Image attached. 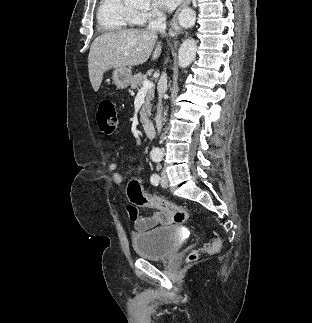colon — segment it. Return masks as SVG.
<instances>
[{
	"instance_id": "5ec220e1",
	"label": "colon",
	"mask_w": 312,
	"mask_h": 323,
	"mask_svg": "<svg viewBox=\"0 0 312 323\" xmlns=\"http://www.w3.org/2000/svg\"><path fill=\"white\" fill-rule=\"evenodd\" d=\"M118 125L119 119L113 100L109 97L100 99L97 108V126L99 131L102 134L109 136L117 131ZM142 182V177L127 178V194L134 204L149 205L155 209L170 213L173 216V221L176 223H182L188 219V212L184 207L177 204H172L171 202L156 196L145 195L142 192L141 186L139 185L142 184ZM127 212L131 219L135 220L137 218L135 207L128 205ZM220 247V240L215 239L209 244L207 251L216 252ZM196 258V253H191L188 256L189 261H195Z\"/></svg>"
}]
</instances>
